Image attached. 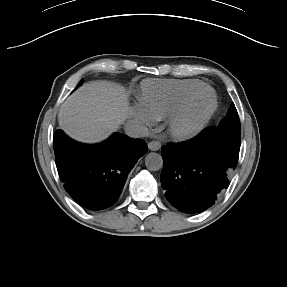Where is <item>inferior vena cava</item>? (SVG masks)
I'll use <instances>...</instances> for the list:
<instances>
[{
	"instance_id": "1",
	"label": "inferior vena cava",
	"mask_w": 287,
	"mask_h": 287,
	"mask_svg": "<svg viewBox=\"0 0 287 287\" xmlns=\"http://www.w3.org/2000/svg\"><path fill=\"white\" fill-rule=\"evenodd\" d=\"M124 130L131 138H141L149 135L148 128L138 120H128L124 126Z\"/></svg>"
}]
</instances>
